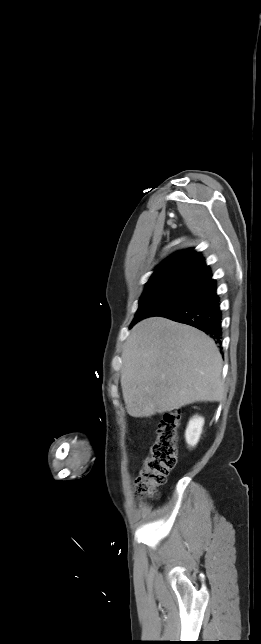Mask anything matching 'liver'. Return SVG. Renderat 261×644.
I'll list each match as a JSON object with an SVG mask.
<instances>
[{"instance_id": "1", "label": "liver", "mask_w": 261, "mask_h": 644, "mask_svg": "<svg viewBox=\"0 0 261 644\" xmlns=\"http://www.w3.org/2000/svg\"><path fill=\"white\" fill-rule=\"evenodd\" d=\"M222 357L200 330L162 317L137 323L122 351L121 386L127 412L150 417L225 396Z\"/></svg>"}]
</instances>
